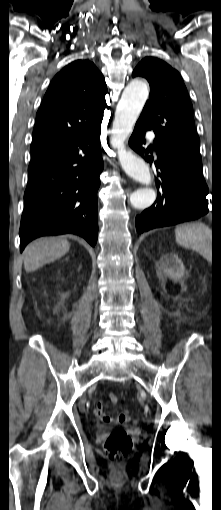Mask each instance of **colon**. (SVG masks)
I'll list each match as a JSON object with an SVG mask.
<instances>
[{
    "mask_svg": "<svg viewBox=\"0 0 221 510\" xmlns=\"http://www.w3.org/2000/svg\"><path fill=\"white\" fill-rule=\"evenodd\" d=\"M112 404H116L118 399L116 395L109 396ZM120 423H127L130 421L128 414H120L118 416ZM105 454L110 460L111 464L118 468L122 461L128 456L132 448V440L126 430L117 428L112 431L105 441Z\"/></svg>",
    "mask_w": 221,
    "mask_h": 510,
    "instance_id": "obj_1",
    "label": "colon"
}]
</instances>
